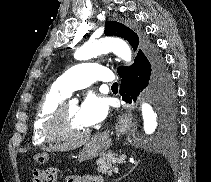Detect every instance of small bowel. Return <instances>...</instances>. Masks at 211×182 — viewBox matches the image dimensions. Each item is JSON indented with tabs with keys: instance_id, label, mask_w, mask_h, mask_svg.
<instances>
[{
	"instance_id": "obj_1",
	"label": "small bowel",
	"mask_w": 211,
	"mask_h": 182,
	"mask_svg": "<svg viewBox=\"0 0 211 182\" xmlns=\"http://www.w3.org/2000/svg\"><path fill=\"white\" fill-rule=\"evenodd\" d=\"M66 182H104L100 176H90V177H81V176H69L66 179Z\"/></svg>"
}]
</instances>
